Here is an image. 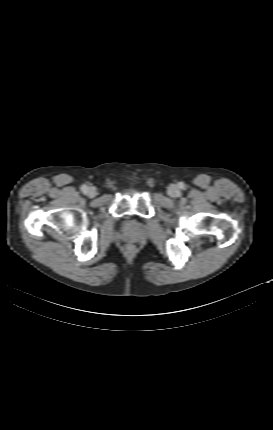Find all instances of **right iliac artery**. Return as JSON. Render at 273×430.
<instances>
[{
	"label": "right iliac artery",
	"instance_id": "obj_1",
	"mask_svg": "<svg viewBox=\"0 0 273 430\" xmlns=\"http://www.w3.org/2000/svg\"><path fill=\"white\" fill-rule=\"evenodd\" d=\"M87 190H88V187H87L86 185H82V186H81V191H82L83 193H87Z\"/></svg>",
	"mask_w": 273,
	"mask_h": 430
}]
</instances>
